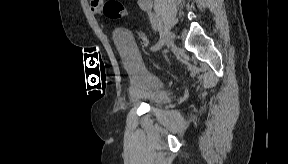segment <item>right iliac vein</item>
I'll return each mask as SVG.
<instances>
[{"label":"right iliac vein","mask_w":288,"mask_h":164,"mask_svg":"<svg viewBox=\"0 0 288 164\" xmlns=\"http://www.w3.org/2000/svg\"><path fill=\"white\" fill-rule=\"evenodd\" d=\"M159 24L162 32L163 45H167L171 41V34L168 29L164 27L160 22Z\"/></svg>","instance_id":"1"}]
</instances>
